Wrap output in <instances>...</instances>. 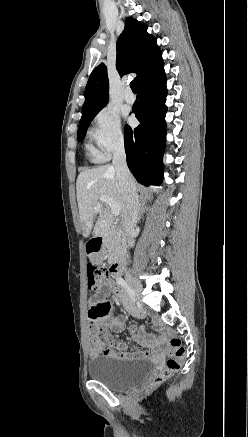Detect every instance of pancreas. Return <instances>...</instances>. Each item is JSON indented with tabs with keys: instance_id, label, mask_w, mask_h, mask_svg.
<instances>
[{
	"instance_id": "pancreas-1",
	"label": "pancreas",
	"mask_w": 248,
	"mask_h": 437,
	"mask_svg": "<svg viewBox=\"0 0 248 437\" xmlns=\"http://www.w3.org/2000/svg\"><path fill=\"white\" fill-rule=\"evenodd\" d=\"M106 246L108 249L109 260L119 256L125 249L124 239L116 232L110 233L107 238Z\"/></svg>"
}]
</instances>
